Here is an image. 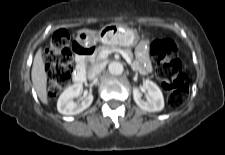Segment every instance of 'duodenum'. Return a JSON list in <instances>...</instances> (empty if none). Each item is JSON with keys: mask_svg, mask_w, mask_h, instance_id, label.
<instances>
[{"mask_svg": "<svg viewBox=\"0 0 225 155\" xmlns=\"http://www.w3.org/2000/svg\"><path fill=\"white\" fill-rule=\"evenodd\" d=\"M74 50L76 53L77 65L73 74V81L76 84H81L86 79L85 60L87 56L92 53L93 48L90 45L77 44Z\"/></svg>", "mask_w": 225, "mask_h": 155, "instance_id": "410a0bca", "label": "duodenum"}]
</instances>
